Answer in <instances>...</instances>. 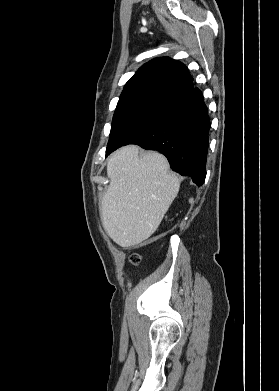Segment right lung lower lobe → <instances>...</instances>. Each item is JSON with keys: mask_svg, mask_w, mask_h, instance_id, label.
Listing matches in <instances>:
<instances>
[{"mask_svg": "<svg viewBox=\"0 0 279 391\" xmlns=\"http://www.w3.org/2000/svg\"><path fill=\"white\" fill-rule=\"evenodd\" d=\"M210 120L203 95L193 88L162 107L153 121L126 144L163 153L172 168L197 186L206 177Z\"/></svg>", "mask_w": 279, "mask_h": 391, "instance_id": "right-lung-lower-lobe-1", "label": "right lung lower lobe"}]
</instances>
